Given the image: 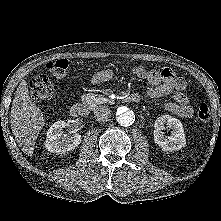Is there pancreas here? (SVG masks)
<instances>
[{"label":"pancreas","instance_id":"cf45deb5","mask_svg":"<svg viewBox=\"0 0 221 221\" xmlns=\"http://www.w3.org/2000/svg\"><path fill=\"white\" fill-rule=\"evenodd\" d=\"M105 98L101 96H95L94 94H90L87 96V100L93 101V102H102Z\"/></svg>","mask_w":221,"mask_h":221}]
</instances>
